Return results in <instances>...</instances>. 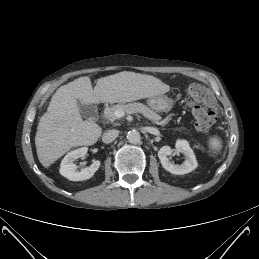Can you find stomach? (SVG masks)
Returning a JSON list of instances; mask_svg holds the SVG:
<instances>
[{
  "mask_svg": "<svg viewBox=\"0 0 259 259\" xmlns=\"http://www.w3.org/2000/svg\"><path fill=\"white\" fill-rule=\"evenodd\" d=\"M148 105L155 111L168 112L173 106V102L165 95H158L148 99Z\"/></svg>",
  "mask_w": 259,
  "mask_h": 259,
  "instance_id": "obj_1",
  "label": "stomach"
}]
</instances>
